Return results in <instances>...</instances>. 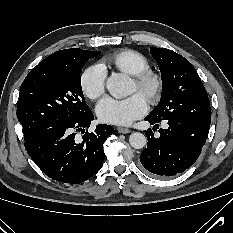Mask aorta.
I'll return each instance as SVG.
<instances>
[{
  "label": "aorta",
  "mask_w": 233,
  "mask_h": 233,
  "mask_svg": "<svg viewBox=\"0 0 233 233\" xmlns=\"http://www.w3.org/2000/svg\"><path fill=\"white\" fill-rule=\"evenodd\" d=\"M106 88L114 97H124L131 93V79L121 73H113L106 82ZM129 143L134 149H142L147 139L144 134L134 132L129 137Z\"/></svg>",
  "instance_id": "obj_1"
}]
</instances>
